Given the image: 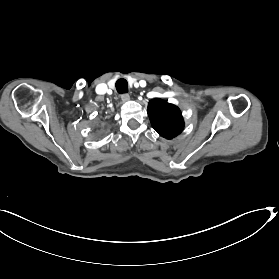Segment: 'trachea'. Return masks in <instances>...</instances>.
Wrapping results in <instances>:
<instances>
[{
  "label": "trachea",
  "mask_w": 279,
  "mask_h": 279,
  "mask_svg": "<svg viewBox=\"0 0 279 279\" xmlns=\"http://www.w3.org/2000/svg\"><path fill=\"white\" fill-rule=\"evenodd\" d=\"M116 90L118 93H126L128 92V82L124 78H120L116 82Z\"/></svg>",
  "instance_id": "obj_1"
}]
</instances>
